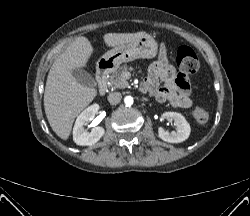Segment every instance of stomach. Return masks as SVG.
<instances>
[{"label": "stomach", "instance_id": "1", "mask_svg": "<svg viewBox=\"0 0 250 216\" xmlns=\"http://www.w3.org/2000/svg\"><path fill=\"white\" fill-rule=\"evenodd\" d=\"M158 54V44L151 35H144L138 40L115 47L107 51L103 59L111 67L117 68L120 64L135 59H152Z\"/></svg>", "mask_w": 250, "mask_h": 216}]
</instances>
